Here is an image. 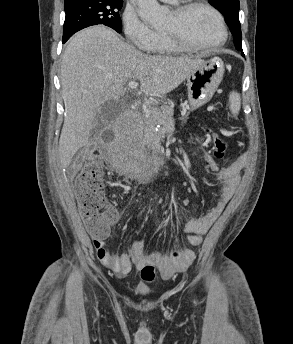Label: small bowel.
Returning a JSON list of instances; mask_svg holds the SVG:
<instances>
[{
    "instance_id": "c3829d8e",
    "label": "small bowel",
    "mask_w": 293,
    "mask_h": 344,
    "mask_svg": "<svg viewBox=\"0 0 293 344\" xmlns=\"http://www.w3.org/2000/svg\"><path fill=\"white\" fill-rule=\"evenodd\" d=\"M205 162L211 172L217 174V180L221 183L220 196L216 204L203 216L193 218L185 224V232L192 235V243L198 245L214 221L224 210L236 192L240 183V172L244 167V157L241 156L225 167H219L210 154H205ZM93 245L99 261L109 268L118 278L128 275L132 269L141 270L145 266H157L164 277H170L175 272L186 270L195 258V252L186 248L178 258H171L167 255L154 251L145 253L144 242L137 240L126 253H112L105 239H94ZM141 291V289H139Z\"/></svg>"
}]
</instances>
